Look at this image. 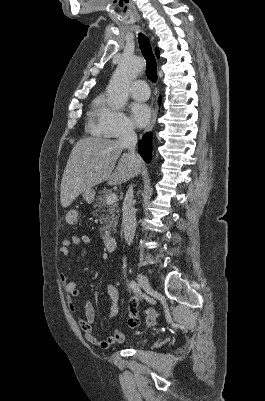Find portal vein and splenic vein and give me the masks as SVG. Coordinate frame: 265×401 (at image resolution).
<instances>
[{
	"instance_id": "18ae733b",
	"label": "portal vein and splenic vein",
	"mask_w": 265,
	"mask_h": 401,
	"mask_svg": "<svg viewBox=\"0 0 265 401\" xmlns=\"http://www.w3.org/2000/svg\"><path fill=\"white\" fill-rule=\"evenodd\" d=\"M116 198H117L116 194H110V196H107V201H106L107 205H113V203H115L116 201Z\"/></svg>"
}]
</instances>
